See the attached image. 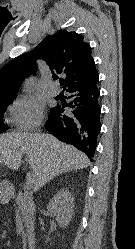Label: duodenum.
I'll return each instance as SVG.
<instances>
[{
  "mask_svg": "<svg viewBox=\"0 0 135 249\" xmlns=\"http://www.w3.org/2000/svg\"><path fill=\"white\" fill-rule=\"evenodd\" d=\"M27 246L29 249H34L35 248V238L34 234H30L28 239H27Z\"/></svg>",
  "mask_w": 135,
  "mask_h": 249,
  "instance_id": "410a0bca",
  "label": "duodenum"
}]
</instances>
